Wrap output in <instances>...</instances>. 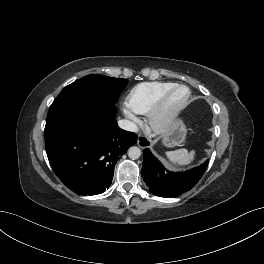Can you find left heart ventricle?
I'll list each match as a JSON object with an SVG mask.
<instances>
[{"instance_id": "1", "label": "left heart ventricle", "mask_w": 264, "mask_h": 264, "mask_svg": "<svg viewBox=\"0 0 264 264\" xmlns=\"http://www.w3.org/2000/svg\"><path fill=\"white\" fill-rule=\"evenodd\" d=\"M187 95V90L184 88H179L175 90L172 95L170 96L168 103H167V111H170L177 107L180 103L183 102Z\"/></svg>"}]
</instances>
